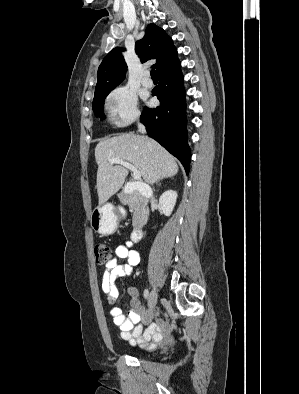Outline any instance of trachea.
I'll use <instances>...</instances> for the list:
<instances>
[{"instance_id": "obj_1", "label": "trachea", "mask_w": 299, "mask_h": 394, "mask_svg": "<svg viewBox=\"0 0 299 394\" xmlns=\"http://www.w3.org/2000/svg\"><path fill=\"white\" fill-rule=\"evenodd\" d=\"M151 78H152V79H157V75H156L155 69H152V70H151Z\"/></svg>"}]
</instances>
